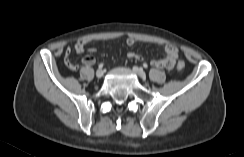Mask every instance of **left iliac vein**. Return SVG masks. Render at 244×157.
Masks as SVG:
<instances>
[{
    "instance_id": "4c4485c4",
    "label": "left iliac vein",
    "mask_w": 244,
    "mask_h": 157,
    "mask_svg": "<svg viewBox=\"0 0 244 157\" xmlns=\"http://www.w3.org/2000/svg\"><path fill=\"white\" fill-rule=\"evenodd\" d=\"M133 71H134L138 76H140L141 78H145V76H146V74H145V72L143 71V69H142V68H139V67H137V66H134V67H133Z\"/></svg>"
}]
</instances>
